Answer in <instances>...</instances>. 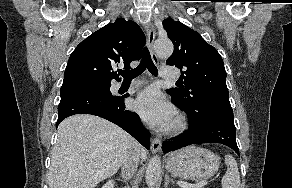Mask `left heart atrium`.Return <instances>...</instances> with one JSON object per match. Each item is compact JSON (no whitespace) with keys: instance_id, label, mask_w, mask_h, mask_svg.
<instances>
[{"instance_id":"obj_1","label":"left heart atrium","mask_w":292,"mask_h":188,"mask_svg":"<svg viewBox=\"0 0 292 188\" xmlns=\"http://www.w3.org/2000/svg\"><path fill=\"white\" fill-rule=\"evenodd\" d=\"M134 110L150 126L166 128L174 120L173 107L155 89L143 91L133 103Z\"/></svg>"}]
</instances>
